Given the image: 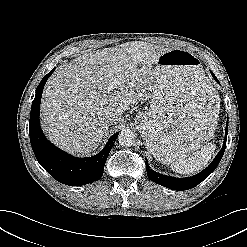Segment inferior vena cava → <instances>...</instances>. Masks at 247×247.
Listing matches in <instances>:
<instances>
[{
  "label": "inferior vena cava",
  "instance_id": "1",
  "mask_svg": "<svg viewBox=\"0 0 247 247\" xmlns=\"http://www.w3.org/2000/svg\"><path fill=\"white\" fill-rule=\"evenodd\" d=\"M120 119L121 118L119 117L118 114L112 113V114H110V116H108L107 122L112 125V124H115V123L119 122Z\"/></svg>",
  "mask_w": 247,
  "mask_h": 247
}]
</instances>
